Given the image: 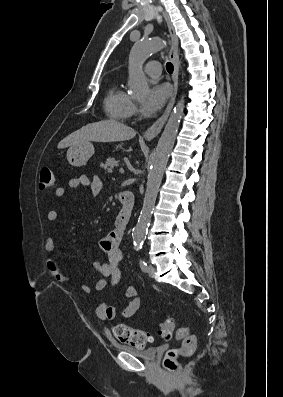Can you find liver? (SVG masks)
Instances as JSON below:
<instances>
[{
    "label": "liver",
    "mask_w": 283,
    "mask_h": 397,
    "mask_svg": "<svg viewBox=\"0 0 283 397\" xmlns=\"http://www.w3.org/2000/svg\"><path fill=\"white\" fill-rule=\"evenodd\" d=\"M136 131L114 120H102L83 126L71 133L58 144V149L71 147L83 142H118L132 139Z\"/></svg>",
    "instance_id": "1"
}]
</instances>
